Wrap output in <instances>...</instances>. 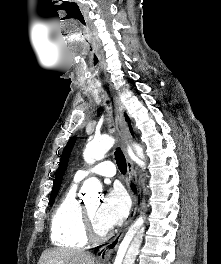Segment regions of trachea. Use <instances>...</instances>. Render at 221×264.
Here are the masks:
<instances>
[{"label": "trachea", "mask_w": 221, "mask_h": 264, "mask_svg": "<svg viewBox=\"0 0 221 264\" xmlns=\"http://www.w3.org/2000/svg\"><path fill=\"white\" fill-rule=\"evenodd\" d=\"M114 154H115V160H116V163H117V166H118L120 172L122 174H125L127 171V164H126V159H125L123 152L118 147Z\"/></svg>", "instance_id": "1"}]
</instances>
